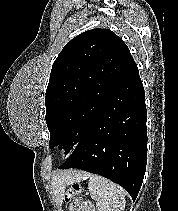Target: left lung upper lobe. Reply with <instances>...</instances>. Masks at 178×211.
<instances>
[{
    "mask_svg": "<svg viewBox=\"0 0 178 211\" xmlns=\"http://www.w3.org/2000/svg\"><path fill=\"white\" fill-rule=\"evenodd\" d=\"M132 59L109 29L85 31L64 46L53 63L45 97L50 148L73 146L85 138Z\"/></svg>",
    "mask_w": 178,
    "mask_h": 211,
    "instance_id": "5c2ea615",
    "label": "left lung upper lobe"
}]
</instances>
